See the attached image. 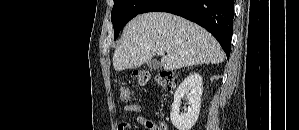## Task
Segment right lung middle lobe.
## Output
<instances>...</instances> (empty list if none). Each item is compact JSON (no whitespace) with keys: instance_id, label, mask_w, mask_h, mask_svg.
<instances>
[{"instance_id":"right-lung-middle-lobe-1","label":"right lung middle lobe","mask_w":299,"mask_h":130,"mask_svg":"<svg viewBox=\"0 0 299 130\" xmlns=\"http://www.w3.org/2000/svg\"><path fill=\"white\" fill-rule=\"evenodd\" d=\"M149 0H114L111 13V21L114 27V39L116 40L119 32L133 17L139 14L140 10Z\"/></svg>"}]
</instances>
